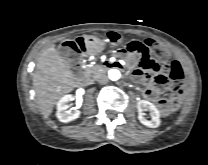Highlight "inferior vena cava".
<instances>
[{
	"label": "inferior vena cava",
	"instance_id": "inferior-vena-cava-1",
	"mask_svg": "<svg viewBox=\"0 0 208 165\" xmlns=\"http://www.w3.org/2000/svg\"><path fill=\"white\" fill-rule=\"evenodd\" d=\"M96 80L101 83L104 84L108 81V77L105 74H99L96 76Z\"/></svg>",
	"mask_w": 208,
	"mask_h": 165
}]
</instances>
